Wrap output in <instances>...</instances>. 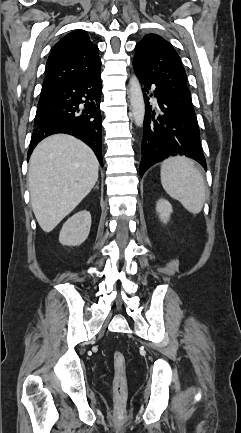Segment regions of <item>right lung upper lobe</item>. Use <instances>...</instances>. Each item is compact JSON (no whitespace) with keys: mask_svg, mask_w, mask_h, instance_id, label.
<instances>
[{"mask_svg":"<svg viewBox=\"0 0 241 433\" xmlns=\"http://www.w3.org/2000/svg\"><path fill=\"white\" fill-rule=\"evenodd\" d=\"M99 49L83 30L71 32L53 47L47 63L44 92L58 84L100 71Z\"/></svg>","mask_w":241,"mask_h":433,"instance_id":"obj_1","label":"right lung upper lobe"}]
</instances>
